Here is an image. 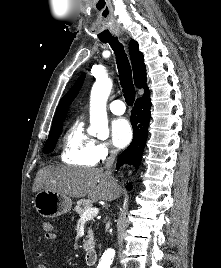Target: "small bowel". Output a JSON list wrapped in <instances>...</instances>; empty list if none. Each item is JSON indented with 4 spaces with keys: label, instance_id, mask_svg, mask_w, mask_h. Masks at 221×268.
I'll return each instance as SVG.
<instances>
[{
    "label": "small bowel",
    "instance_id": "obj_1",
    "mask_svg": "<svg viewBox=\"0 0 221 268\" xmlns=\"http://www.w3.org/2000/svg\"><path fill=\"white\" fill-rule=\"evenodd\" d=\"M45 240L47 241H54L57 238V235L53 232V228L49 232H45ZM36 256L38 259H42L45 256V250L40 248L37 250ZM38 268H48L44 262L38 263Z\"/></svg>",
    "mask_w": 221,
    "mask_h": 268
}]
</instances>
